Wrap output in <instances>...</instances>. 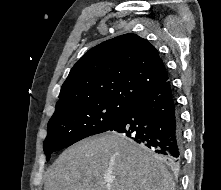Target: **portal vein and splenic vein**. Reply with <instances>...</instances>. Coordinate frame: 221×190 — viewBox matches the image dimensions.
Segmentation results:
<instances>
[{
	"instance_id": "portal-vein-and-splenic-vein-1",
	"label": "portal vein and splenic vein",
	"mask_w": 221,
	"mask_h": 190,
	"mask_svg": "<svg viewBox=\"0 0 221 190\" xmlns=\"http://www.w3.org/2000/svg\"><path fill=\"white\" fill-rule=\"evenodd\" d=\"M106 181L107 182H112L113 180L111 178H108Z\"/></svg>"
}]
</instances>
